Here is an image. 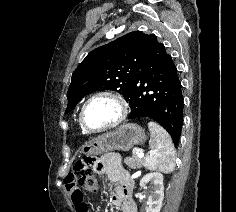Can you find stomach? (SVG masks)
<instances>
[{"mask_svg":"<svg viewBox=\"0 0 236 212\" xmlns=\"http://www.w3.org/2000/svg\"><path fill=\"white\" fill-rule=\"evenodd\" d=\"M146 141L144 130L137 124L127 123L115 131L104 133L82 149L85 155L95 156L115 150L128 151Z\"/></svg>","mask_w":236,"mask_h":212,"instance_id":"1","label":"stomach"}]
</instances>
